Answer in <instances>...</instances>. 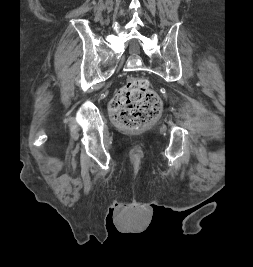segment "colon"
Masks as SVG:
<instances>
[{"label": "colon", "instance_id": "1", "mask_svg": "<svg viewBox=\"0 0 253 267\" xmlns=\"http://www.w3.org/2000/svg\"><path fill=\"white\" fill-rule=\"evenodd\" d=\"M161 108L158 95L149 88L148 81L140 77L129 78L110 103L114 123L129 131L147 126L158 116Z\"/></svg>", "mask_w": 253, "mask_h": 267}]
</instances>
